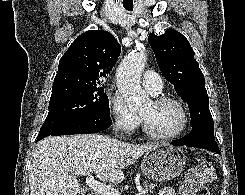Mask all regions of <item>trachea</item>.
Listing matches in <instances>:
<instances>
[{"label": "trachea", "instance_id": "1", "mask_svg": "<svg viewBox=\"0 0 245 195\" xmlns=\"http://www.w3.org/2000/svg\"><path fill=\"white\" fill-rule=\"evenodd\" d=\"M128 11H132L133 10V8H126Z\"/></svg>", "mask_w": 245, "mask_h": 195}]
</instances>
